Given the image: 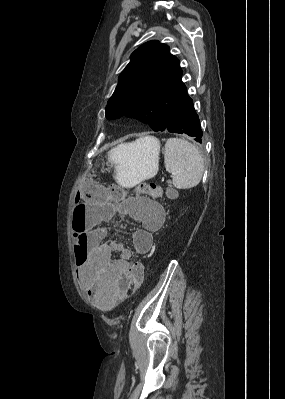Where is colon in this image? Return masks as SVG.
<instances>
[{
    "label": "colon",
    "instance_id": "1",
    "mask_svg": "<svg viewBox=\"0 0 285 399\" xmlns=\"http://www.w3.org/2000/svg\"><path fill=\"white\" fill-rule=\"evenodd\" d=\"M81 190L85 192H94L97 197H100L102 191L99 182L96 178H88L81 184ZM129 191L118 186L113 185L106 191L107 196L111 200H122L128 195ZM134 193L139 196L151 197L153 199L161 198L166 194L169 198H174L176 192L172 189L165 191L164 187L155 183H141L135 189ZM131 278L134 285H141L144 280V268L141 262H136L131 268Z\"/></svg>",
    "mask_w": 285,
    "mask_h": 399
}]
</instances>
